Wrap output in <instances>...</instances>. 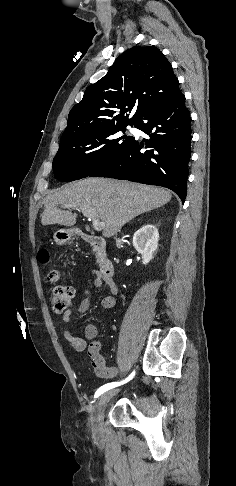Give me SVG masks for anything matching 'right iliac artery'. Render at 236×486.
<instances>
[{"label": "right iliac artery", "instance_id": "obj_1", "mask_svg": "<svg viewBox=\"0 0 236 486\" xmlns=\"http://www.w3.org/2000/svg\"><path fill=\"white\" fill-rule=\"evenodd\" d=\"M135 375V371L132 372V374L125 380L121 381V382H112V383H108V384H105L103 385L102 387H100L96 393H95V398L99 397L102 393L106 392L107 390H110L116 386H119L121 384H124L126 382H128L129 380H131L133 378V376Z\"/></svg>", "mask_w": 236, "mask_h": 486}]
</instances>
